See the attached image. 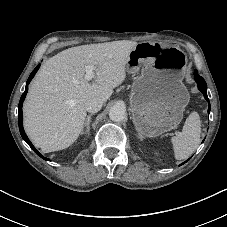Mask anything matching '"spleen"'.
Listing matches in <instances>:
<instances>
[{"label": "spleen", "mask_w": 227, "mask_h": 227, "mask_svg": "<svg viewBox=\"0 0 227 227\" xmlns=\"http://www.w3.org/2000/svg\"><path fill=\"white\" fill-rule=\"evenodd\" d=\"M201 135V121L197 112H192L185 121L182 132L171 138L175 158H188L198 147Z\"/></svg>", "instance_id": "1"}]
</instances>
